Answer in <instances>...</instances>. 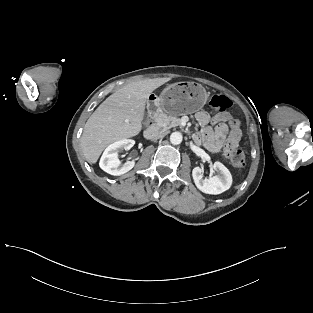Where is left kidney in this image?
<instances>
[{
	"mask_svg": "<svg viewBox=\"0 0 313 313\" xmlns=\"http://www.w3.org/2000/svg\"><path fill=\"white\" fill-rule=\"evenodd\" d=\"M213 168L218 172L215 176L203 179V169L195 167L192 170V176L196 187L206 194H221L228 190L232 185V176L230 171L220 162H215Z\"/></svg>",
	"mask_w": 313,
	"mask_h": 313,
	"instance_id": "obj_1",
	"label": "left kidney"
}]
</instances>
